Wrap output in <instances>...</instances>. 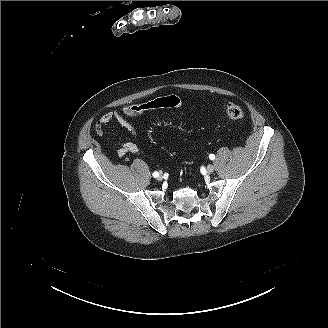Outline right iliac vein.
<instances>
[{
  "instance_id": "obj_1",
  "label": "right iliac vein",
  "mask_w": 328,
  "mask_h": 328,
  "mask_svg": "<svg viewBox=\"0 0 328 328\" xmlns=\"http://www.w3.org/2000/svg\"><path fill=\"white\" fill-rule=\"evenodd\" d=\"M159 181H161L163 179V176L162 175H159L158 178H157Z\"/></svg>"
}]
</instances>
